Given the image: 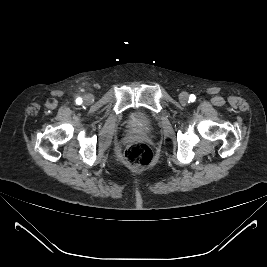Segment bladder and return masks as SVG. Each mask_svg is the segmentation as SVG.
Wrapping results in <instances>:
<instances>
[{"label":"bladder","instance_id":"bladder-1","mask_svg":"<svg viewBox=\"0 0 267 267\" xmlns=\"http://www.w3.org/2000/svg\"><path fill=\"white\" fill-rule=\"evenodd\" d=\"M152 123L151 117L142 111H134L129 117V124L135 128L148 129Z\"/></svg>","mask_w":267,"mask_h":267}]
</instances>
